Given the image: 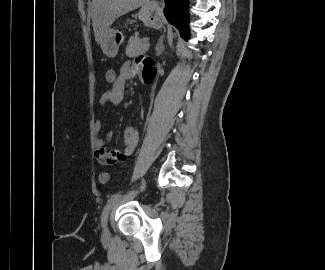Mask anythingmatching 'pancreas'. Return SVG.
Returning a JSON list of instances; mask_svg holds the SVG:
<instances>
[{
    "label": "pancreas",
    "instance_id": "1",
    "mask_svg": "<svg viewBox=\"0 0 325 270\" xmlns=\"http://www.w3.org/2000/svg\"><path fill=\"white\" fill-rule=\"evenodd\" d=\"M149 48L146 39H139L137 35L130 38L126 47V55L130 58L145 53Z\"/></svg>",
    "mask_w": 325,
    "mask_h": 270
}]
</instances>
